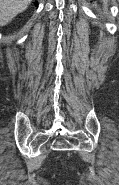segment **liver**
Returning a JSON list of instances; mask_svg holds the SVG:
<instances>
[{"mask_svg": "<svg viewBox=\"0 0 119 185\" xmlns=\"http://www.w3.org/2000/svg\"><path fill=\"white\" fill-rule=\"evenodd\" d=\"M32 0H0V26L12 21L19 13L25 11Z\"/></svg>", "mask_w": 119, "mask_h": 185, "instance_id": "obj_1", "label": "liver"}]
</instances>
